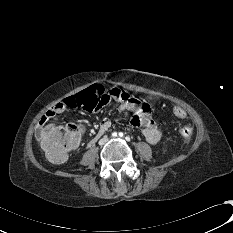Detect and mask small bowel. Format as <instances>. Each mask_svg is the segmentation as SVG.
Returning a JSON list of instances; mask_svg holds the SVG:
<instances>
[{"label": "small bowel", "instance_id": "small-bowel-1", "mask_svg": "<svg viewBox=\"0 0 233 233\" xmlns=\"http://www.w3.org/2000/svg\"><path fill=\"white\" fill-rule=\"evenodd\" d=\"M111 101L120 105L121 111L132 113L131 124L142 129L143 135L149 143L155 144L161 139L162 129L153 120L152 114L154 113V107L149 102L142 103L138 97L130 95L127 91L121 90L119 87H107L105 94L93 106V111L100 113ZM64 102L65 99L57 102L40 118L38 122L39 131L44 129L50 119L66 111L67 108ZM110 127L111 121L107 118L102 119L99 123L97 134L88 141V145L92 146L94 142H97Z\"/></svg>", "mask_w": 233, "mask_h": 233}]
</instances>
